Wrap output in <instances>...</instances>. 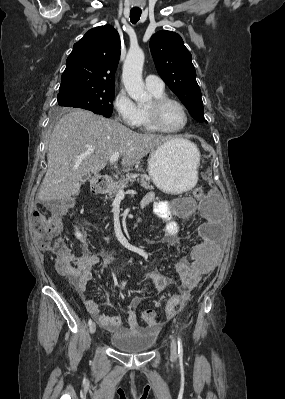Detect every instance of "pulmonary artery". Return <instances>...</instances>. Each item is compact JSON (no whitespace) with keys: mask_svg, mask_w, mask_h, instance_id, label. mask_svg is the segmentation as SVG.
Masks as SVG:
<instances>
[{"mask_svg":"<svg viewBox=\"0 0 285 399\" xmlns=\"http://www.w3.org/2000/svg\"><path fill=\"white\" fill-rule=\"evenodd\" d=\"M145 84L149 90L157 91L164 89V82L156 75L148 74L145 77Z\"/></svg>","mask_w":285,"mask_h":399,"instance_id":"1","label":"pulmonary artery"}]
</instances>
